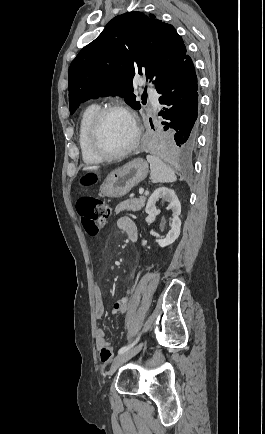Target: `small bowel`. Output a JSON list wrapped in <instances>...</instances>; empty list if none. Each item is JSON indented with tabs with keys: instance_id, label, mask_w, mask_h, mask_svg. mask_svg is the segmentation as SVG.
I'll return each instance as SVG.
<instances>
[{
	"instance_id": "small-bowel-1",
	"label": "small bowel",
	"mask_w": 265,
	"mask_h": 434,
	"mask_svg": "<svg viewBox=\"0 0 265 434\" xmlns=\"http://www.w3.org/2000/svg\"><path fill=\"white\" fill-rule=\"evenodd\" d=\"M118 227L122 230L128 238L134 242L140 240L143 247L146 246V241L139 236L138 228L134 221L129 217H122L118 221ZM95 295L94 313L97 319H101L105 314V297L102 286L95 282L93 286ZM133 292V286L126 290L125 295L115 302L112 310L113 315H124L128 309L129 299ZM102 340H110L106 334V331L102 328L95 330V345L97 349L101 347ZM113 346V345H112Z\"/></svg>"
}]
</instances>
